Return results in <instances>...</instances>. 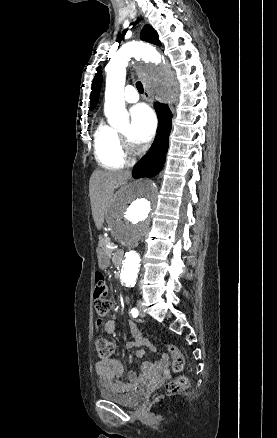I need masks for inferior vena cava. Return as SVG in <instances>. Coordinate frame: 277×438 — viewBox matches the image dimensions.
I'll return each mask as SVG.
<instances>
[{
    "instance_id": "602c4592",
    "label": "inferior vena cava",
    "mask_w": 277,
    "mask_h": 438,
    "mask_svg": "<svg viewBox=\"0 0 277 438\" xmlns=\"http://www.w3.org/2000/svg\"><path fill=\"white\" fill-rule=\"evenodd\" d=\"M125 174H127V176H131L130 170H126Z\"/></svg>"
}]
</instances>
